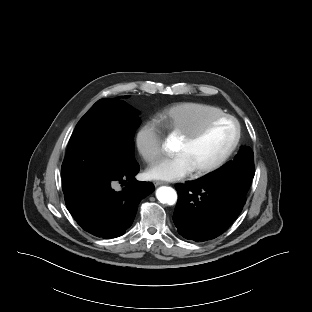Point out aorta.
Returning a JSON list of instances; mask_svg holds the SVG:
<instances>
[{
	"mask_svg": "<svg viewBox=\"0 0 312 312\" xmlns=\"http://www.w3.org/2000/svg\"><path fill=\"white\" fill-rule=\"evenodd\" d=\"M156 197L161 203L168 205H173L177 201L176 191L173 188L166 186L157 189Z\"/></svg>",
	"mask_w": 312,
	"mask_h": 312,
	"instance_id": "obj_1",
	"label": "aorta"
}]
</instances>
